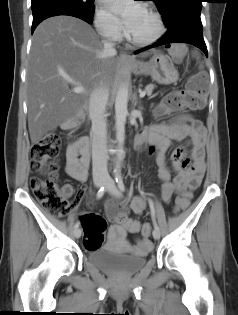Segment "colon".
I'll return each mask as SVG.
<instances>
[{"instance_id": "1", "label": "colon", "mask_w": 238, "mask_h": 315, "mask_svg": "<svg viewBox=\"0 0 238 315\" xmlns=\"http://www.w3.org/2000/svg\"><path fill=\"white\" fill-rule=\"evenodd\" d=\"M168 52L176 62H181L187 52L183 45L171 44L167 46ZM206 103V78L200 71L188 83L185 90H176L167 95L160 106V111H174L179 109L200 110ZM59 136L50 131L38 139L31 149V164L33 171L38 174L30 180V188L34 197L41 206L57 215H64L69 211V203L58 189L56 177L58 172ZM190 202V195L184 194L175 200V212L185 210ZM109 213L114 221L119 224L127 219V208L121 203H110ZM84 229L83 244L89 249L101 246L107 228L105 219L94 213L84 214L80 217ZM141 233L144 237L151 234V226L143 224Z\"/></svg>"}]
</instances>
